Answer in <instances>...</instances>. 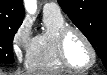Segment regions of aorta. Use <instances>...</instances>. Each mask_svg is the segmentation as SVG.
Instances as JSON below:
<instances>
[{
    "mask_svg": "<svg viewBox=\"0 0 107 75\" xmlns=\"http://www.w3.org/2000/svg\"><path fill=\"white\" fill-rule=\"evenodd\" d=\"M25 8L30 14H34L37 9V1L36 0H26Z\"/></svg>",
    "mask_w": 107,
    "mask_h": 75,
    "instance_id": "aorta-1",
    "label": "aorta"
}]
</instances>
